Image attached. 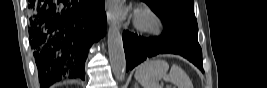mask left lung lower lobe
Wrapping results in <instances>:
<instances>
[{
    "instance_id": "left-lung-lower-lobe-1",
    "label": "left lung lower lobe",
    "mask_w": 267,
    "mask_h": 88,
    "mask_svg": "<svg viewBox=\"0 0 267 88\" xmlns=\"http://www.w3.org/2000/svg\"><path fill=\"white\" fill-rule=\"evenodd\" d=\"M198 32L187 29H165L160 37L144 38L136 34L124 31L123 45L126 55V70L134 68L144 61L160 53L179 54L201 71L202 50L198 43Z\"/></svg>"
}]
</instances>
